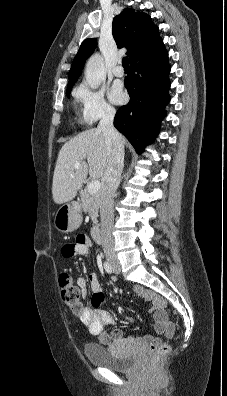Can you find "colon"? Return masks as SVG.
<instances>
[{"instance_id":"5ec220e1","label":"colon","mask_w":227,"mask_h":396,"mask_svg":"<svg viewBox=\"0 0 227 396\" xmlns=\"http://www.w3.org/2000/svg\"><path fill=\"white\" fill-rule=\"evenodd\" d=\"M59 286L61 297L66 306H68L75 314L81 315L84 306L80 300V292L77 285L74 283L72 276L68 272H62L59 276ZM170 350L167 343H163L158 347H154L151 355V364L156 365L161 357H163Z\"/></svg>"}]
</instances>
